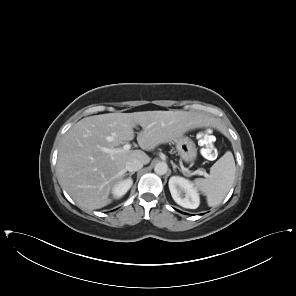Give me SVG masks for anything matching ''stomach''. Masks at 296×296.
I'll use <instances>...</instances> for the list:
<instances>
[{"instance_id":"0dacf381","label":"stomach","mask_w":296,"mask_h":296,"mask_svg":"<svg viewBox=\"0 0 296 296\" xmlns=\"http://www.w3.org/2000/svg\"><path fill=\"white\" fill-rule=\"evenodd\" d=\"M176 149L180 158L186 163H193L197 157V148L192 139L181 136L176 140Z\"/></svg>"}]
</instances>
